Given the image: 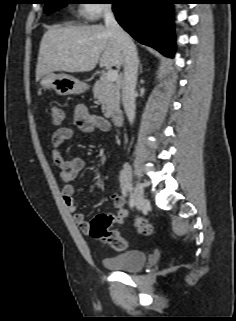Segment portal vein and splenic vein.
<instances>
[{
	"instance_id": "1",
	"label": "portal vein and splenic vein",
	"mask_w": 236,
	"mask_h": 321,
	"mask_svg": "<svg viewBox=\"0 0 236 321\" xmlns=\"http://www.w3.org/2000/svg\"><path fill=\"white\" fill-rule=\"evenodd\" d=\"M106 78L110 82H115L118 78V72L116 70H109L106 74Z\"/></svg>"
}]
</instances>
